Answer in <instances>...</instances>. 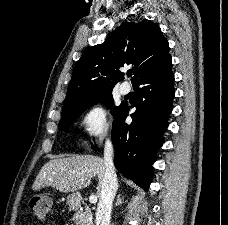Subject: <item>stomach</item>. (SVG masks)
<instances>
[{"label": "stomach", "instance_id": "1", "mask_svg": "<svg viewBox=\"0 0 228 225\" xmlns=\"http://www.w3.org/2000/svg\"><path fill=\"white\" fill-rule=\"evenodd\" d=\"M79 199V193H72V195H68L67 205H69V209H75V207H77V205L80 203Z\"/></svg>", "mask_w": 228, "mask_h": 225}]
</instances>
